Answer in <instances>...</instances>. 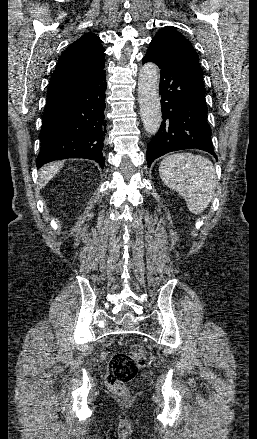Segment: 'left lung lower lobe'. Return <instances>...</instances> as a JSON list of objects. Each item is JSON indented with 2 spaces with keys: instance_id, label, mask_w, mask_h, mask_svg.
Returning <instances> with one entry per match:
<instances>
[{
  "instance_id": "0a47b994",
  "label": "left lung lower lobe",
  "mask_w": 257,
  "mask_h": 439,
  "mask_svg": "<svg viewBox=\"0 0 257 439\" xmlns=\"http://www.w3.org/2000/svg\"><path fill=\"white\" fill-rule=\"evenodd\" d=\"M154 62L160 71L162 123L147 146L148 166L158 157L178 150L199 149L217 158L207 122L203 81L181 61L150 43L143 63Z\"/></svg>"
}]
</instances>
